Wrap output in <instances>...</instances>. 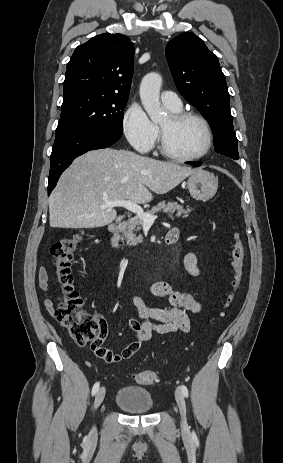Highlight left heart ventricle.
<instances>
[{
    "label": "left heart ventricle",
    "instance_id": "obj_1",
    "mask_svg": "<svg viewBox=\"0 0 283 463\" xmlns=\"http://www.w3.org/2000/svg\"><path fill=\"white\" fill-rule=\"evenodd\" d=\"M171 151L180 156H194L201 153L206 144V132L202 124L195 119H188L179 124L166 117L159 123Z\"/></svg>",
    "mask_w": 283,
    "mask_h": 463
}]
</instances>
